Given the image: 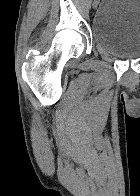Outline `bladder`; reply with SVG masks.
Listing matches in <instances>:
<instances>
[{"label": "bladder", "instance_id": "obj_1", "mask_svg": "<svg viewBox=\"0 0 140 196\" xmlns=\"http://www.w3.org/2000/svg\"><path fill=\"white\" fill-rule=\"evenodd\" d=\"M91 30L94 43L106 53L140 58V0H103Z\"/></svg>", "mask_w": 140, "mask_h": 196}]
</instances>
